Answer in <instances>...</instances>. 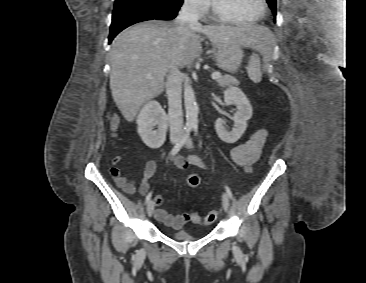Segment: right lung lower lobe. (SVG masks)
<instances>
[{
	"label": "right lung lower lobe",
	"instance_id": "98d812e1",
	"mask_svg": "<svg viewBox=\"0 0 366 283\" xmlns=\"http://www.w3.org/2000/svg\"><path fill=\"white\" fill-rule=\"evenodd\" d=\"M180 7L172 8L162 0H116L110 26L109 42L123 29L146 20H171Z\"/></svg>",
	"mask_w": 366,
	"mask_h": 283
}]
</instances>
